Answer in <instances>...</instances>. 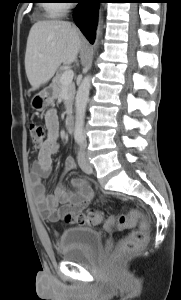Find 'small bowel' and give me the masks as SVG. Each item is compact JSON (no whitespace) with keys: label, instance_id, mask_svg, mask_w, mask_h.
Masks as SVG:
<instances>
[{"label":"small bowel","instance_id":"obj_1","mask_svg":"<svg viewBox=\"0 0 181 300\" xmlns=\"http://www.w3.org/2000/svg\"><path fill=\"white\" fill-rule=\"evenodd\" d=\"M45 125L47 139L34 162L32 185L39 207L47 214L51 222H58L67 213H80L94 198V192L85 180L73 178L71 180L73 190H68L62 184H57L51 193H46L42 179L51 173L52 157L59 150V120L55 109H49L46 112ZM74 167V160L67 158L64 163V172H69Z\"/></svg>","mask_w":181,"mask_h":300}]
</instances>
